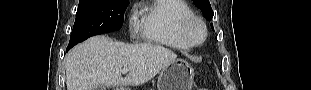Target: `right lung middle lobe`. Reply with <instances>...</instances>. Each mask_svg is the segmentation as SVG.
<instances>
[{
	"label": "right lung middle lobe",
	"mask_w": 311,
	"mask_h": 90,
	"mask_svg": "<svg viewBox=\"0 0 311 90\" xmlns=\"http://www.w3.org/2000/svg\"><path fill=\"white\" fill-rule=\"evenodd\" d=\"M128 0H80L68 46L121 29Z\"/></svg>",
	"instance_id": "1"
}]
</instances>
